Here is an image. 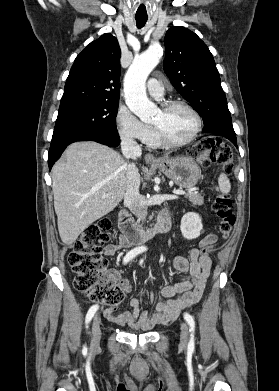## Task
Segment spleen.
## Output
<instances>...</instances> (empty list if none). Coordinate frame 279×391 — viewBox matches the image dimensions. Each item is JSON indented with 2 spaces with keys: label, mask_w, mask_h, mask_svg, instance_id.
<instances>
[{
  "label": "spleen",
  "mask_w": 279,
  "mask_h": 391,
  "mask_svg": "<svg viewBox=\"0 0 279 391\" xmlns=\"http://www.w3.org/2000/svg\"><path fill=\"white\" fill-rule=\"evenodd\" d=\"M218 184H219L220 191L222 193L226 194V193L230 192L231 184H230L228 177L225 174H223V173L220 174V176L218 178Z\"/></svg>",
  "instance_id": "spleen-1"
}]
</instances>
